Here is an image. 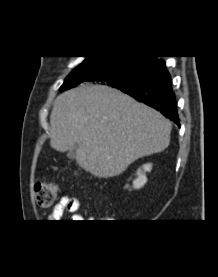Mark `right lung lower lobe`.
Instances as JSON below:
<instances>
[{
	"label": "right lung lower lobe",
	"instance_id": "1",
	"mask_svg": "<svg viewBox=\"0 0 218 277\" xmlns=\"http://www.w3.org/2000/svg\"><path fill=\"white\" fill-rule=\"evenodd\" d=\"M84 81L98 82L101 79L99 75L88 73L83 76L81 83ZM115 88L155 108L180 127L175 95L164 61L156 59L153 65L135 80Z\"/></svg>",
	"mask_w": 218,
	"mask_h": 277
}]
</instances>
